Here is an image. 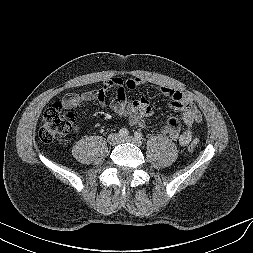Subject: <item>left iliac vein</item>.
<instances>
[{"label": "left iliac vein", "mask_w": 253, "mask_h": 253, "mask_svg": "<svg viewBox=\"0 0 253 253\" xmlns=\"http://www.w3.org/2000/svg\"><path fill=\"white\" fill-rule=\"evenodd\" d=\"M121 141L122 142H131V143H134L137 146H139L141 144V142L139 140L135 139L132 136L123 137V138H121Z\"/></svg>", "instance_id": "obj_1"}]
</instances>
